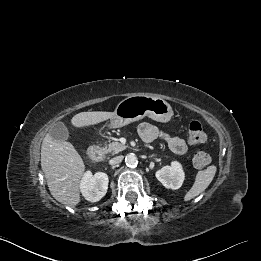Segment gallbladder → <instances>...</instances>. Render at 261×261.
<instances>
[{
	"instance_id": "obj_1",
	"label": "gallbladder",
	"mask_w": 261,
	"mask_h": 261,
	"mask_svg": "<svg viewBox=\"0 0 261 261\" xmlns=\"http://www.w3.org/2000/svg\"><path fill=\"white\" fill-rule=\"evenodd\" d=\"M50 136L57 141H66L69 137L67 127L62 123H55L49 130Z\"/></svg>"
}]
</instances>
